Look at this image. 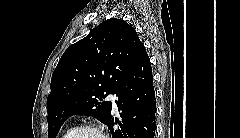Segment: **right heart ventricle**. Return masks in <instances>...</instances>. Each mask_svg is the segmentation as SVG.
<instances>
[{
	"label": "right heart ventricle",
	"mask_w": 240,
	"mask_h": 138,
	"mask_svg": "<svg viewBox=\"0 0 240 138\" xmlns=\"http://www.w3.org/2000/svg\"><path fill=\"white\" fill-rule=\"evenodd\" d=\"M73 130H74L73 128L69 129V130L66 132V134H65V138H67L68 135H69Z\"/></svg>",
	"instance_id": "1"
}]
</instances>
